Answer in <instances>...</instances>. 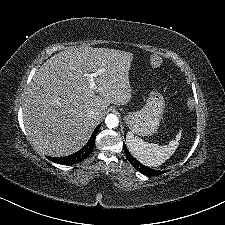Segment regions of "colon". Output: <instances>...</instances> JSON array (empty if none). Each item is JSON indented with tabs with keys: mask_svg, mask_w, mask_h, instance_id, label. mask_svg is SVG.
Returning a JSON list of instances; mask_svg holds the SVG:
<instances>
[{
	"mask_svg": "<svg viewBox=\"0 0 225 225\" xmlns=\"http://www.w3.org/2000/svg\"><path fill=\"white\" fill-rule=\"evenodd\" d=\"M150 63L153 66H159L162 63V60L159 56L153 55L150 58Z\"/></svg>",
	"mask_w": 225,
	"mask_h": 225,
	"instance_id": "colon-1",
	"label": "colon"
}]
</instances>
